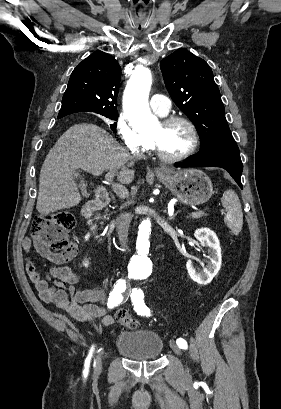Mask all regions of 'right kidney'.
<instances>
[{"mask_svg":"<svg viewBox=\"0 0 281 409\" xmlns=\"http://www.w3.org/2000/svg\"><path fill=\"white\" fill-rule=\"evenodd\" d=\"M89 237H90V233H87V235H85V241H88ZM83 265H84V267H88L89 263H88L87 259H86V261H84Z\"/></svg>","mask_w":281,"mask_h":409,"instance_id":"ca27d5eb","label":"right kidney"}]
</instances>
